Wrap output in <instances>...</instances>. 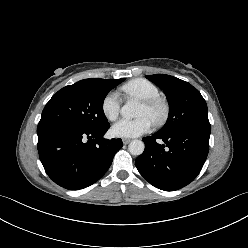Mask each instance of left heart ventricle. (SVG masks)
Segmentation results:
<instances>
[{
  "label": "left heart ventricle",
  "mask_w": 248,
  "mask_h": 248,
  "mask_svg": "<svg viewBox=\"0 0 248 248\" xmlns=\"http://www.w3.org/2000/svg\"><path fill=\"white\" fill-rule=\"evenodd\" d=\"M138 116H147L151 119L150 111L143 104H141L140 106V109L138 111Z\"/></svg>",
  "instance_id": "b2bd125f"
}]
</instances>
